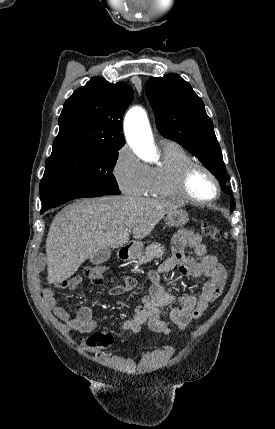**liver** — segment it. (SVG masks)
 Returning a JSON list of instances; mask_svg holds the SVG:
<instances>
[{
    "instance_id": "6515ba94",
    "label": "liver",
    "mask_w": 275,
    "mask_h": 429,
    "mask_svg": "<svg viewBox=\"0 0 275 429\" xmlns=\"http://www.w3.org/2000/svg\"><path fill=\"white\" fill-rule=\"evenodd\" d=\"M181 204L159 199L105 196L77 200L54 217L46 240L49 284L70 278L101 250L148 236L158 222Z\"/></svg>"
}]
</instances>
